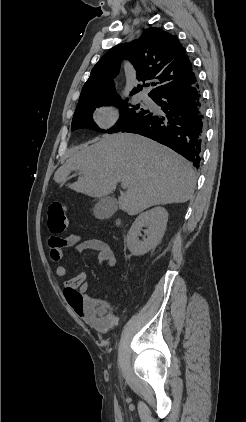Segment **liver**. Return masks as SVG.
<instances>
[{"instance_id": "liver-1", "label": "liver", "mask_w": 246, "mask_h": 422, "mask_svg": "<svg viewBox=\"0 0 246 422\" xmlns=\"http://www.w3.org/2000/svg\"><path fill=\"white\" fill-rule=\"evenodd\" d=\"M72 171L81 175L68 187L90 197H105L124 183L118 204L131 216L154 205L185 203L196 184L191 163L181 155L127 133L103 135L79 147L55 172V182L65 184Z\"/></svg>"}]
</instances>
